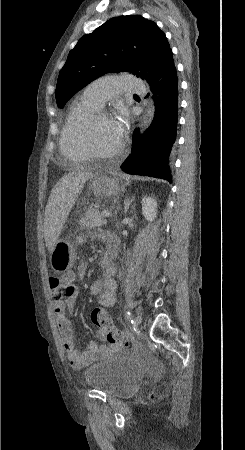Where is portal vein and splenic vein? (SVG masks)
<instances>
[{
	"instance_id": "18ae733b",
	"label": "portal vein and splenic vein",
	"mask_w": 245,
	"mask_h": 450,
	"mask_svg": "<svg viewBox=\"0 0 245 450\" xmlns=\"http://www.w3.org/2000/svg\"><path fill=\"white\" fill-rule=\"evenodd\" d=\"M101 215H102L103 217H111V216H112V214H111L110 211H103V212L101 213Z\"/></svg>"
}]
</instances>
